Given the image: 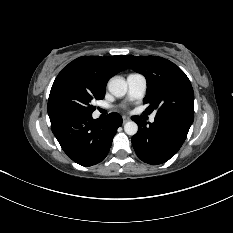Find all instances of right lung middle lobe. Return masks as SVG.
Listing matches in <instances>:
<instances>
[{
	"label": "right lung middle lobe",
	"instance_id": "obj_1",
	"mask_svg": "<svg viewBox=\"0 0 233 233\" xmlns=\"http://www.w3.org/2000/svg\"><path fill=\"white\" fill-rule=\"evenodd\" d=\"M104 98V93H99L90 88L72 81H61L53 84L48 99V114L57 112H77L92 114L95 107L91 104L94 100Z\"/></svg>",
	"mask_w": 233,
	"mask_h": 233
}]
</instances>
